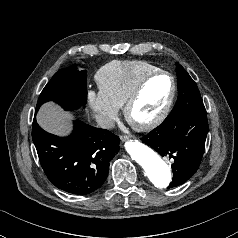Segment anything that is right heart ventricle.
<instances>
[{
  "label": "right heart ventricle",
  "mask_w": 238,
  "mask_h": 238,
  "mask_svg": "<svg viewBox=\"0 0 238 238\" xmlns=\"http://www.w3.org/2000/svg\"><path fill=\"white\" fill-rule=\"evenodd\" d=\"M158 68L144 61H112L95 75L100 92L115 106H124L139 81Z\"/></svg>",
  "instance_id": "right-heart-ventricle-1"
}]
</instances>
